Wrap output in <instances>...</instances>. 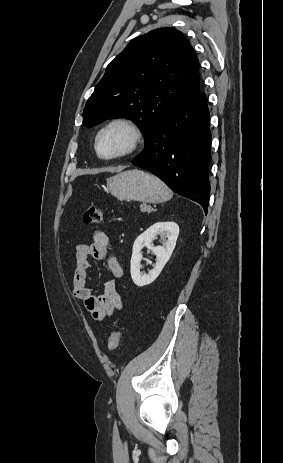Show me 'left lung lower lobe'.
<instances>
[{
	"instance_id": "left-lung-lower-lobe-1",
	"label": "left lung lower lobe",
	"mask_w": 283,
	"mask_h": 463,
	"mask_svg": "<svg viewBox=\"0 0 283 463\" xmlns=\"http://www.w3.org/2000/svg\"><path fill=\"white\" fill-rule=\"evenodd\" d=\"M209 110L200 90L166 118L132 163L157 177L207 213L211 160Z\"/></svg>"
}]
</instances>
